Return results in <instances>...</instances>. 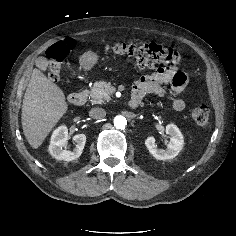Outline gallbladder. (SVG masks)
<instances>
[{
	"label": "gallbladder",
	"instance_id": "bac80fb5",
	"mask_svg": "<svg viewBox=\"0 0 236 236\" xmlns=\"http://www.w3.org/2000/svg\"><path fill=\"white\" fill-rule=\"evenodd\" d=\"M36 63L40 69L45 70L47 68L48 61L45 57H39Z\"/></svg>",
	"mask_w": 236,
	"mask_h": 236
}]
</instances>
